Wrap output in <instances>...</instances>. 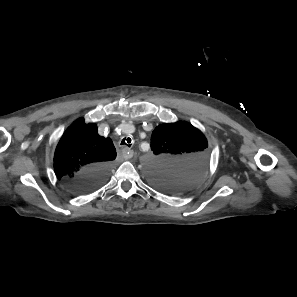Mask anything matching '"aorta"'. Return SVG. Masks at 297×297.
I'll list each match as a JSON object with an SVG mask.
<instances>
[{"mask_svg":"<svg viewBox=\"0 0 297 297\" xmlns=\"http://www.w3.org/2000/svg\"><path fill=\"white\" fill-rule=\"evenodd\" d=\"M153 172H154V168L150 169V170L148 171L149 176H150Z\"/></svg>","mask_w":297,"mask_h":297,"instance_id":"1","label":"aorta"}]
</instances>
